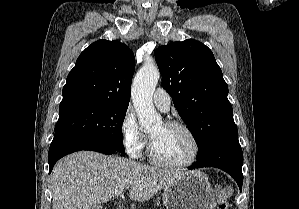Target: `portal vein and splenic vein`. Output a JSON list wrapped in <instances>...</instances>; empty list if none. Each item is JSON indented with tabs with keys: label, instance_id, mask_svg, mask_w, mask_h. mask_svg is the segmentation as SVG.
I'll use <instances>...</instances> for the list:
<instances>
[{
	"label": "portal vein and splenic vein",
	"instance_id": "18ae733b",
	"mask_svg": "<svg viewBox=\"0 0 299 209\" xmlns=\"http://www.w3.org/2000/svg\"><path fill=\"white\" fill-rule=\"evenodd\" d=\"M123 190H124L123 187L118 188V189L115 191V195H116V196L121 195L122 192H123Z\"/></svg>",
	"mask_w": 299,
	"mask_h": 209
}]
</instances>
